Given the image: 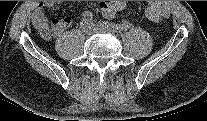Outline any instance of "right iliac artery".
<instances>
[{
  "label": "right iliac artery",
  "mask_w": 207,
  "mask_h": 121,
  "mask_svg": "<svg viewBox=\"0 0 207 121\" xmlns=\"http://www.w3.org/2000/svg\"><path fill=\"white\" fill-rule=\"evenodd\" d=\"M82 19L85 22L91 23L93 21V14L89 11H86L83 13Z\"/></svg>",
  "instance_id": "obj_1"
}]
</instances>
